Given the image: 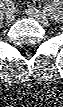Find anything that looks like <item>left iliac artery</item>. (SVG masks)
<instances>
[{"label": "left iliac artery", "mask_w": 63, "mask_h": 107, "mask_svg": "<svg viewBox=\"0 0 63 107\" xmlns=\"http://www.w3.org/2000/svg\"><path fill=\"white\" fill-rule=\"evenodd\" d=\"M51 12H52L51 6H50V5H47V6L45 7V10H44L45 15H50Z\"/></svg>", "instance_id": "44dca946"}]
</instances>
